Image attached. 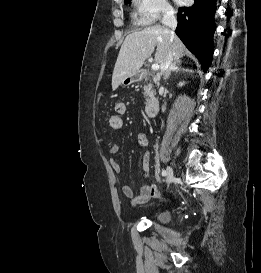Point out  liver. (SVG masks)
Segmentation results:
<instances>
[{"mask_svg": "<svg viewBox=\"0 0 261 273\" xmlns=\"http://www.w3.org/2000/svg\"><path fill=\"white\" fill-rule=\"evenodd\" d=\"M155 47L154 60L161 71L170 50L175 61L180 60L186 50L182 41L164 26L155 25L129 34L117 57L112 75V89L116 90L125 78L137 74Z\"/></svg>", "mask_w": 261, "mask_h": 273, "instance_id": "6515ba94", "label": "liver"}]
</instances>
